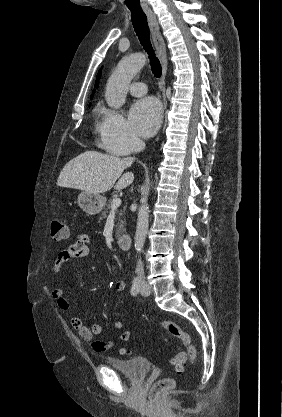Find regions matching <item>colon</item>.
I'll use <instances>...</instances> for the list:
<instances>
[{"instance_id":"obj_1","label":"colon","mask_w":282,"mask_h":417,"mask_svg":"<svg viewBox=\"0 0 282 417\" xmlns=\"http://www.w3.org/2000/svg\"><path fill=\"white\" fill-rule=\"evenodd\" d=\"M50 237L53 241H66L70 237V229L68 224L62 220H53L50 227ZM159 327L165 332L169 333L172 337L181 340L187 348L194 349V352H191L192 358L189 364H193L198 356V352L193 345L191 336L183 331L176 323L169 320H161L159 322ZM176 356L173 359V364L177 372H183L184 368L182 360L185 355V351L182 348H179L176 351ZM174 385V380L172 378L166 379H157L156 384H154L153 389L148 390V397L150 403H165L166 395L165 393H170L171 386Z\"/></svg>"}]
</instances>
